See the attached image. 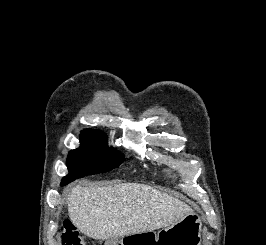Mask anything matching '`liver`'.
Listing matches in <instances>:
<instances>
[{"mask_svg":"<svg viewBox=\"0 0 266 245\" xmlns=\"http://www.w3.org/2000/svg\"><path fill=\"white\" fill-rule=\"evenodd\" d=\"M69 217L91 239H120L175 225L193 209L149 185H76L68 195Z\"/></svg>","mask_w":266,"mask_h":245,"instance_id":"obj_1","label":"liver"}]
</instances>
